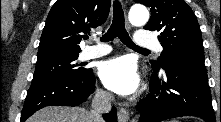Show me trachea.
I'll return each mask as SVG.
<instances>
[{
	"instance_id": "trachea-1",
	"label": "trachea",
	"mask_w": 221,
	"mask_h": 122,
	"mask_svg": "<svg viewBox=\"0 0 221 122\" xmlns=\"http://www.w3.org/2000/svg\"><path fill=\"white\" fill-rule=\"evenodd\" d=\"M124 22H125L124 14H123L121 3L119 1H114L113 21L108 31L101 37V41L109 42V41H112L114 38L118 37L120 41L129 48H132L135 50L148 51L147 49L140 48L133 43V41L128 35V32L125 29Z\"/></svg>"
}]
</instances>
